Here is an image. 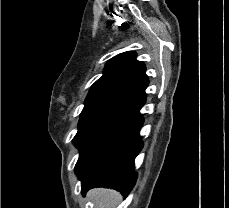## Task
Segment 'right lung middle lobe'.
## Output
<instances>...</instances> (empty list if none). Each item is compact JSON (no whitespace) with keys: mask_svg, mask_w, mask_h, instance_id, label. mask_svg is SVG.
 <instances>
[{"mask_svg":"<svg viewBox=\"0 0 229 208\" xmlns=\"http://www.w3.org/2000/svg\"><path fill=\"white\" fill-rule=\"evenodd\" d=\"M143 105L120 99L86 103L80 115L73 143L80 149L75 169L86 156L136 120Z\"/></svg>","mask_w":229,"mask_h":208,"instance_id":"dd1d6c3e","label":"right lung middle lobe"}]
</instances>
